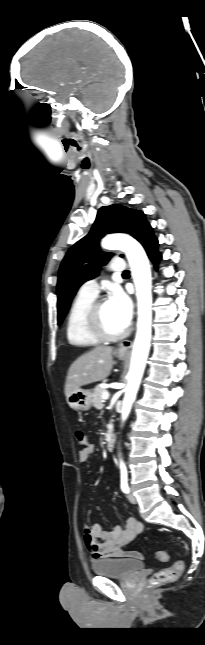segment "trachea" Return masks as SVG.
<instances>
[{"instance_id": "3493384b", "label": "trachea", "mask_w": 205, "mask_h": 645, "mask_svg": "<svg viewBox=\"0 0 205 645\" xmlns=\"http://www.w3.org/2000/svg\"><path fill=\"white\" fill-rule=\"evenodd\" d=\"M128 274H129V271H128V270H125V271L123 272V275H128Z\"/></svg>"}]
</instances>
